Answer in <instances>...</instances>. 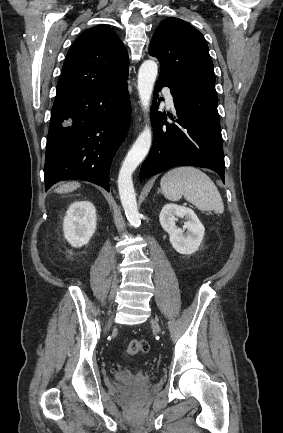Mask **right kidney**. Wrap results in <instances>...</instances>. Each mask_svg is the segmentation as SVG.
Listing matches in <instances>:
<instances>
[{
    "label": "right kidney",
    "instance_id": "obj_1",
    "mask_svg": "<svg viewBox=\"0 0 283 433\" xmlns=\"http://www.w3.org/2000/svg\"><path fill=\"white\" fill-rule=\"evenodd\" d=\"M97 225L96 209L89 201H76L68 208L64 221L65 239L73 247L87 244Z\"/></svg>",
    "mask_w": 283,
    "mask_h": 433
}]
</instances>
